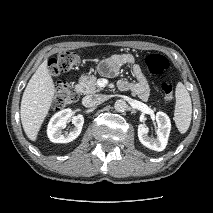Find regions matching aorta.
I'll use <instances>...</instances> for the list:
<instances>
[{
    "mask_svg": "<svg viewBox=\"0 0 213 213\" xmlns=\"http://www.w3.org/2000/svg\"><path fill=\"white\" fill-rule=\"evenodd\" d=\"M114 108L118 112H124L126 110V108H127V104H126V102L124 100L119 99V100H117L115 102Z\"/></svg>",
    "mask_w": 213,
    "mask_h": 213,
    "instance_id": "obj_1",
    "label": "aorta"
}]
</instances>
